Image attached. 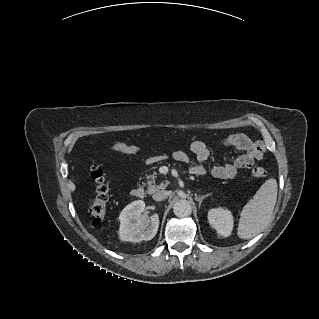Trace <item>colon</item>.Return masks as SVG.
Here are the masks:
<instances>
[{
  "label": "colon",
  "mask_w": 319,
  "mask_h": 319,
  "mask_svg": "<svg viewBox=\"0 0 319 319\" xmlns=\"http://www.w3.org/2000/svg\"><path fill=\"white\" fill-rule=\"evenodd\" d=\"M251 174L255 177H264L266 175V171L262 167L255 166L251 169ZM88 177L94 183L97 193L96 198L90 206L92 225L97 226L105 217L108 201V186L102 168L96 163H93L90 166L88 170Z\"/></svg>",
  "instance_id": "5ec220e1"
}]
</instances>
